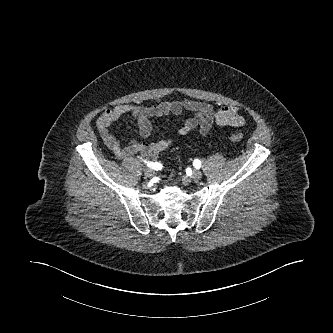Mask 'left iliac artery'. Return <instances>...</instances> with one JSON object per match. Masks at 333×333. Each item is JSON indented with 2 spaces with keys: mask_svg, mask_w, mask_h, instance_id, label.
Listing matches in <instances>:
<instances>
[{
  "mask_svg": "<svg viewBox=\"0 0 333 333\" xmlns=\"http://www.w3.org/2000/svg\"><path fill=\"white\" fill-rule=\"evenodd\" d=\"M193 165L196 169H199L201 167V161L199 159H195Z\"/></svg>",
  "mask_w": 333,
  "mask_h": 333,
  "instance_id": "44dca946",
  "label": "left iliac artery"
}]
</instances>
